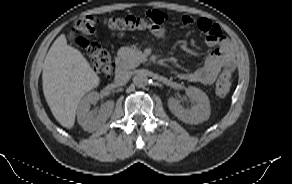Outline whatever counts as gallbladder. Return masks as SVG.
I'll use <instances>...</instances> for the list:
<instances>
[{
  "mask_svg": "<svg viewBox=\"0 0 292 184\" xmlns=\"http://www.w3.org/2000/svg\"><path fill=\"white\" fill-rule=\"evenodd\" d=\"M68 38H69V40H73V39H74V35H73L72 33H70V34L68 35Z\"/></svg>",
  "mask_w": 292,
  "mask_h": 184,
  "instance_id": "gallbladder-1",
  "label": "gallbladder"
}]
</instances>
